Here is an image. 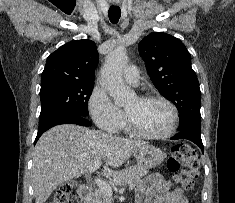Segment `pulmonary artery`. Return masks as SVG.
Listing matches in <instances>:
<instances>
[{"label": "pulmonary artery", "mask_w": 235, "mask_h": 203, "mask_svg": "<svg viewBox=\"0 0 235 203\" xmlns=\"http://www.w3.org/2000/svg\"><path fill=\"white\" fill-rule=\"evenodd\" d=\"M124 80L130 84H137L139 80V72L136 66H127L123 71Z\"/></svg>", "instance_id": "pulmonary-artery-1"}]
</instances>
